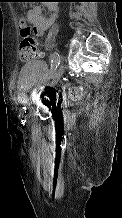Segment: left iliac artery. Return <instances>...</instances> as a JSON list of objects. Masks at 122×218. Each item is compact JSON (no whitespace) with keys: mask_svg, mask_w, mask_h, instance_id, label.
I'll list each match as a JSON object with an SVG mask.
<instances>
[{"mask_svg":"<svg viewBox=\"0 0 122 218\" xmlns=\"http://www.w3.org/2000/svg\"><path fill=\"white\" fill-rule=\"evenodd\" d=\"M61 62V57L58 52H53L52 53V59H51V68H50V73H49V80L53 78L57 67L60 65ZM26 106H23L20 112V115L23 116L26 113Z\"/></svg>","mask_w":122,"mask_h":218,"instance_id":"1","label":"left iliac artery"}]
</instances>
